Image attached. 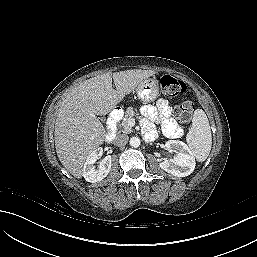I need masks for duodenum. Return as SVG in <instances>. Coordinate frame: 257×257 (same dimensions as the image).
Returning <instances> with one entry per match:
<instances>
[{
	"mask_svg": "<svg viewBox=\"0 0 257 257\" xmlns=\"http://www.w3.org/2000/svg\"><path fill=\"white\" fill-rule=\"evenodd\" d=\"M118 113H115L114 116L111 117V119L109 120L108 124H107V134H106V141L108 143L114 141V139L116 138L117 135V121H118Z\"/></svg>",
	"mask_w": 257,
	"mask_h": 257,
	"instance_id": "1",
	"label": "duodenum"
}]
</instances>
